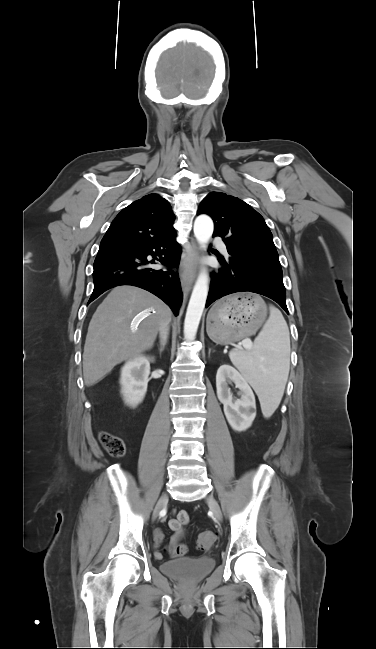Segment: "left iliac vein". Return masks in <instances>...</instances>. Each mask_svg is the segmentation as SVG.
Listing matches in <instances>:
<instances>
[{"mask_svg":"<svg viewBox=\"0 0 376 649\" xmlns=\"http://www.w3.org/2000/svg\"><path fill=\"white\" fill-rule=\"evenodd\" d=\"M207 503H208V506H209L210 510L212 511L214 517L218 521H222V512H221L220 506L217 503V501L212 496H208L207 497Z\"/></svg>","mask_w":376,"mask_h":649,"instance_id":"4c4485c4","label":"left iliac vein"}]
</instances>
